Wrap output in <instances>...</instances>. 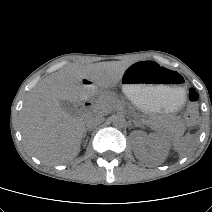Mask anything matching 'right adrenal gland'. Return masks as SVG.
I'll list each match as a JSON object with an SVG mask.
<instances>
[{"label":"right adrenal gland","mask_w":212,"mask_h":212,"mask_svg":"<svg viewBox=\"0 0 212 212\" xmlns=\"http://www.w3.org/2000/svg\"><path fill=\"white\" fill-rule=\"evenodd\" d=\"M87 131H92V129H90V128H86L85 129V131H84V134H83V138H85L86 137V133H87ZM88 141V137H87V139H86V142Z\"/></svg>","instance_id":"1"}]
</instances>
